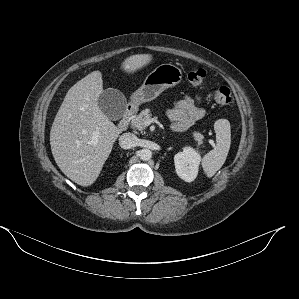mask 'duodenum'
I'll use <instances>...</instances> for the list:
<instances>
[{
  "instance_id": "1",
  "label": "duodenum",
  "mask_w": 299,
  "mask_h": 299,
  "mask_svg": "<svg viewBox=\"0 0 299 299\" xmlns=\"http://www.w3.org/2000/svg\"><path fill=\"white\" fill-rule=\"evenodd\" d=\"M132 113H133V108L131 106H128L121 121L119 122L120 129H125L128 126Z\"/></svg>"
}]
</instances>
